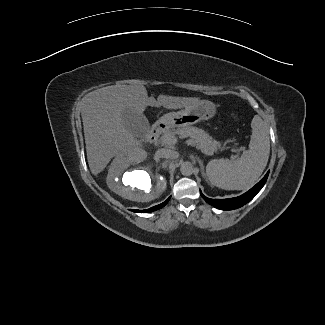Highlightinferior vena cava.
<instances>
[{"instance_id":"inferior-vena-cava-1","label":"inferior vena cava","mask_w":325,"mask_h":325,"mask_svg":"<svg viewBox=\"0 0 325 325\" xmlns=\"http://www.w3.org/2000/svg\"><path fill=\"white\" fill-rule=\"evenodd\" d=\"M156 156L160 158H166V159H175L178 157V153L174 150L170 149H158L156 151Z\"/></svg>"}]
</instances>
